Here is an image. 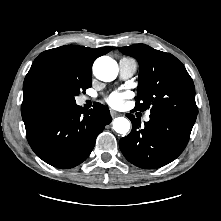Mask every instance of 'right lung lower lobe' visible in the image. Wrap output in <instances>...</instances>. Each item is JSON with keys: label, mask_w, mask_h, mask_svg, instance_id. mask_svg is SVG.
Instances as JSON below:
<instances>
[{"label": "right lung lower lobe", "mask_w": 221, "mask_h": 221, "mask_svg": "<svg viewBox=\"0 0 221 221\" xmlns=\"http://www.w3.org/2000/svg\"><path fill=\"white\" fill-rule=\"evenodd\" d=\"M27 140L46 163L69 169L91 153L96 137L111 122L107 107L97 103L85 112L73 104L51 103L22 115Z\"/></svg>", "instance_id": "98d812e1"}]
</instances>
